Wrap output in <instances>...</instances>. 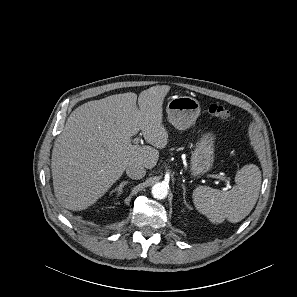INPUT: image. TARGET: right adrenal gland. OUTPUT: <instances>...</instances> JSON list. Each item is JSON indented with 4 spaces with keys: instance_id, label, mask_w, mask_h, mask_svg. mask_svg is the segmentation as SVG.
I'll return each mask as SVG.
<instances>
[{
    "instance_id": "right-adrenal-gland-1",
    "label": "right adrenal gland",
    "mask_w": 297,
    "mask_h": 297,
    "mask_svg": "<svg viewBox=\"0 0 297 297\" xmlns=\"http://www.w3.org/2000/svg\"><path fill=\"white\" fill-rule=\"evenodd\" d=\"M129 183V181H123V182H121L120 183V185L117 187V188H115L114 190H112V192H115V191H117V195L119 196V195H121V193H122V190H123V187L125 186V185H127Z\"/></svg>"
}]
</instances>
